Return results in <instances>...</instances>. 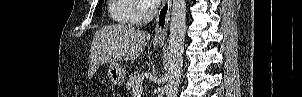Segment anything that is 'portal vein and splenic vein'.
Here are the masks:
<instances>
[{
    "label": "portal vein and splenic vein",
    "mask_w": 302,
    "mask_h": 97,
    "mask_svg": "<svg viewBox=\"0 0 302 97\" xmlns=\"http://www.w3.org/2000/svg\"><path fill=\"white\" fill-rule=\"evenodd\" d=\"M133 94H139L142 93L143 87L141 84H137L136 86L133 87Z\"/></svg>",
    "instance_id": "18ae733b"
}]
</instances>
